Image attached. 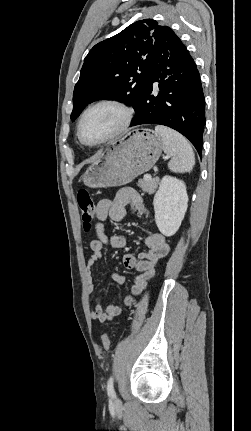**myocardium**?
<instances>
[{"label": "myocardium", "mask_w": 251, "mask_h": 431, "mask_svg": "<svg viewBox=\"0 0 251 431\" xmlns=\"http://www.w3.org/2000/svg\"><path fill=\"white\" fill-rule=\"evenodd\" d=\"M101 106H112L115 107L117 109H119L122 112V120L121 123L119 124V126L111 133L109 134L107 137H105L104 139L96 142V143H89L87 141L84 140L83 136H82V123L84 121V118L86 117V115L92 111L93 109H96L98 107ZM134 117V110L127 105L126 103L117 100V99H102L99 100L93 104H91L90 106H88L83 113L81 114L78 124H77V136L78 139L80 140V142L88 147H97L100 145H103L115 138H117L118 136H120L121 134H123L128 127L130 126L132 120Z\"/></svg>", "instance_id": "1"}]
</instances>
